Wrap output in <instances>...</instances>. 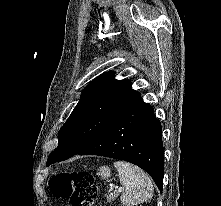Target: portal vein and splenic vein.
I'll list each match as a JSON object with an SVG mask.
<instances>
[{"mask_svg": "<svg viewBox=\"0 0 221 206\" xmlns=\"http://www.w3.org/2000/svg\"><path fill=\"white\" fill-rule=\"evenodd\" d=\"M114 190V186H111L109 191H113Z\"/></svg>", "mask_w": 221, "mask_h": 206, "instance_id": "portal-vein-and-splenic-vein-1", "label": "portal vein and splenic vein"}]
</instances>
